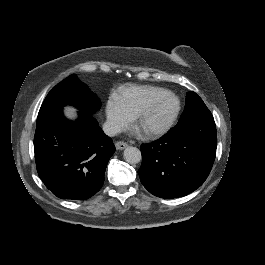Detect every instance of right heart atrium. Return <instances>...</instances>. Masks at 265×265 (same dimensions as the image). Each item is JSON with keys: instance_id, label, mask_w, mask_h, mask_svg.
<instances>
[{"instance_id": "d8ad5b80", "label": "right heart atrium", "mask_w": 265, "mask_h": 265, "mask_svg": "<svg viewBox=\"0 0 265 265\" xmlns=\"http://www.w3.org/2000/svg\"><path fill=\"white\" fill-rule=\"evenodd\" d=\"M106 127L111 133H118L133 123V118L124 114L115 103H110L105 111Z\"/></svg>"}]
</instances>
